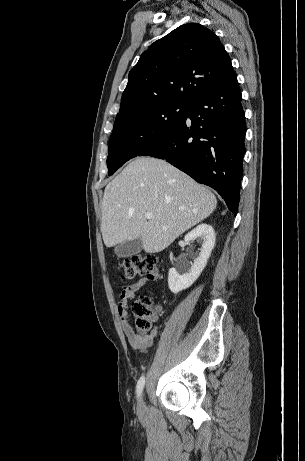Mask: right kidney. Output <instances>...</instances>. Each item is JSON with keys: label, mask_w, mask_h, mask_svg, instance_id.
I'll return each mask as SVG.
<instances>
[{"label": "right kidney", "mask_w": 305, "mask_h": 461, "mask_svg": "<svg viewBox=\"0 0 305 461\" xmlns=\"http://www.w3.org/2000/svg\"><path fill=\"white\" fill-rule=\"evenodd\" d=\"M197 238L203 240L199 256L191 264L190 268H184L181 272L171 268L168 274L169 289L177 294L189 288L200 276L215 246V232L211 225L200 224L185 236V241H193Z\"/></svg>", "instance_id": "obj_1"}]
</instances>
